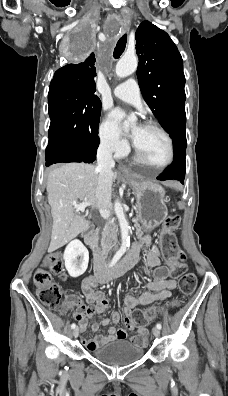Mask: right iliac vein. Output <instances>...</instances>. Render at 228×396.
I'll return each mask as SVG.
<instances>
[{
    "label": "right iliac vein",
    "instance_id": "right-iliac-vein-1",
    "mask_svg": "<svg viewBox=\"0 0 228 396\" xmlns=\"http://www.w3.org/2000/svg\"><path fill=\"white\" fill-rule=\"evenodd\" d=\"M72 334H73V337H74V338L78 337V335H79V328L76 327V328L73 330Z\"/></svg>",
    "mask_w": 228,
    "mask_h": 396
}]
</instances>
